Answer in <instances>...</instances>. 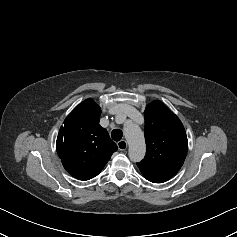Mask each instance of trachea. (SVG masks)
Listing matches in <instances>:
<instances>
[{
  "label": "trachea",
  "mask_w": 237,
  "mask_h": 237,
  "mask_svg": "<svg viewBox=\"0 0 237 237\" xmlns=\"http://www.w3.org/2000/svg\"><path fill=\"white\" fill-rule=\"evenodd\" d=\"M123 133L121 130L119 129H114L111 132V137L114 141H120L122 139Z\"/></svg>",
  "instance_id": "1"
}]
</instances>
